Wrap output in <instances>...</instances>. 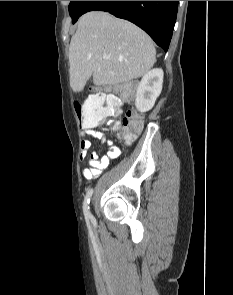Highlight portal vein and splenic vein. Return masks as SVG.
I'll return each instance as SVG.
<instances>
[{
    "label": "portal vein and splenic vein",
    "mask_w": 233,
    "mask_h": 295,
    "mask_svg": "<svg viewBox=\"0 0 233 295\" xmlns=\"http://www.w3.org/2000/svg\"><path fill=\"white\" fill-rule=\"evenodd\" d=\"M103 58H104V59H108L109 56H108V55H103Z\"/></svg>",
    "instance_id": "obj_1"
}]
</instances>
